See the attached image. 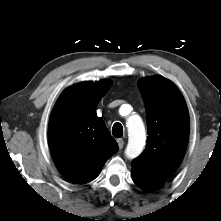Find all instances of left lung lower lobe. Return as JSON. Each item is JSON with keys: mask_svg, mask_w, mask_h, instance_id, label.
Returning <instances> with one entry per match:
<instances>
[{"mask_svg": "<svg viewBox=\"0 0 221 221\" xmlns=\"http://www.w3.org/2000/svg\"><path fill=\"white\" fill-rule=\"evenodd\" d=\"M132 178L135 184L147 192H152L161 188L164 181L148 175L142 168L132 165Z\"/></svg>", "mask_w": 221, "mask_h": 221, "instance_id": "obj_1", "label": "left lung lower lobe"}]
</instances>
